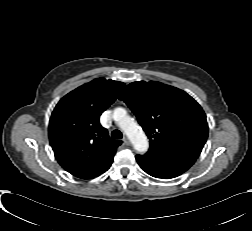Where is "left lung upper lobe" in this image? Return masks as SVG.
I'll return each instance as SVG.
<instances>
[{"mask_svg": "<svg viewBox=\"0 0 252 231\" xmlns=\"http://www.w3.org/2000/svg\"><path fill=\"white\" fill-rule=\"evenodd\" d=\"M150 140L149 151L199 157L208 137L206 115L186 92L159 82H133L119 95Z\"/></svg>", "mask_w": 252, "mask_h": 231, "instance_id": "obj_1", "label": "left lung upper lobe"}]
</instances>
